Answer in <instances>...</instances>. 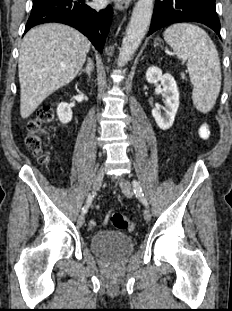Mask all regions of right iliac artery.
Masks as SVG:
<instances>
[{
  "label": "right iliac artery",
  "mask_w": 232,
  "mask_h": 311,
  "mask_svg": "<svg viewBox=\"0 0 232 311\" xmlns=\"http://www.w3.org/2000/svg\"><path fill=\"white\" fill-rule=\"evenodd\" d=\"M96 195V192H92L91 194H89V196L87 197V200H86V204L84 205V207L82 208V214H86L87 213V210L89 208V206L91 205L92 201H93V198L95 197Z\"/></svg>",
  "instance_id": "right-iliac-artery-1"
}]
</instances>
